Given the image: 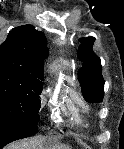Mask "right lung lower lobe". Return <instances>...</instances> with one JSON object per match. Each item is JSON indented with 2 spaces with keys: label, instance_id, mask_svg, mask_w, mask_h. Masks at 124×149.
Listing matches in <instances>:
<instances>
[{
  "label": "right lung lower lobe",
  "instance_id": "98d812e1",
  "mask_svg": "<svg viewBox=\"0 0 124 149\" xmlns=\"http://www.w3.org/2000/svg\"><path fill=\"white\" fill-rule=\"evenodd\" d=\"M37 131V125L20 130H0V149L10 142L29 137Z\"/></svg>",
  "mask_w": 124,
  "mask_h": 149
}]
</instances>
